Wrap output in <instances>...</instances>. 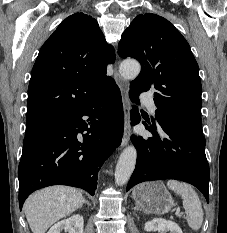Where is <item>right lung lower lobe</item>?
<instances>
[{
  "label": "right lung lower lobe",
  "mask_w": 227,
  "mask_h": 233,
  "mask_svg": "<svg viewBox=\"0 0 227 233\" xmlns=\"http://www.w3.org/2000/svg\"><path fill=\"white\" fill-rule=\"evenodd\" d=\"M123 118L120 90L112 80L110 89L84 108L26 133L18 168L20 210L32 192L51 185L94 195L101 165L121 143Z\"/></svg>",
  "instance_id": "obj_1"
}]
</instances>
